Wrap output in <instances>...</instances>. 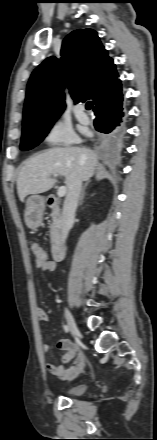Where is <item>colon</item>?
Masks as SVG:
<instances>
[{"mask_svg": "<svg viewBox=\"0 0 157 440\" xmlns=\"http://www.w3.org/2000/svg\"><path fill=\"white\" fill-rule=\"evenodd\" d=\"M32 252L36 259L37 268L41 270L44 269L49 263L45 250L38 243L35 242L32 244Z\"/></svg>", "mask_w": 157, "mask_h": 440, "instance_id": "1", "label": "colon"}]
</instances>
